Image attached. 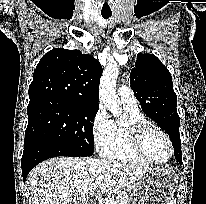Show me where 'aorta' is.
<instances>
[{"label": "aorta", "instance_id": "aorta-1", "mask_svg": "<svg viewBox=\"0 0 206 204\" xmlns=\"http://www.w3.org/2000/svg\"><path fill=\"white\" fill-rule=\"evenodd\" d=\"M118 75V65L115 62L109 63L102 73L99 87L101 102L114 116H119L122 113L121 108L118 106L116 95V82Z\"/></svg>", "mask_w": 206, "mask_h": 204}]
</instances>
